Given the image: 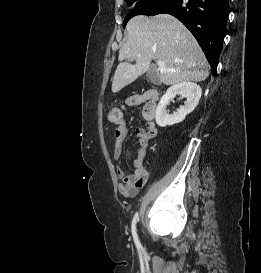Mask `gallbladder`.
Returning <instances> with one entry per match:
<instances>
[{
	"label": "gallbladder",
	"instance_id": "1",
	"mask_svg": "<svg viewBox=\"0 0 261 273\" xmlns=\"http://www.w3.org/2000/svg\"><path fill=\"white\" fill-rule=\"evenodd\" d=\"M147 77L153 84H158L159 83V76L158 72L155 69L154 66H151L149 70L147 71Z\"/></svg>",
	"mask_w": 261,
	"mask_h": 273
}]
</instances>
